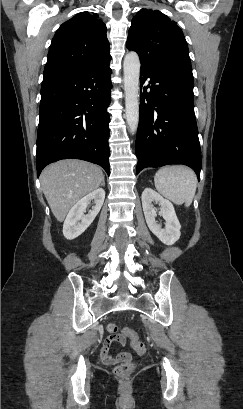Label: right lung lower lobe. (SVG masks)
Listing matches in <instances>:
<instances>
[{
  "label": "right lung lower lobe",
  "mask_w": 243,
  "mask_h": 409,
  "mask_svg": "<svg viewBox=\"0 0 243 409\" xmlns=\"http://www.w3.org/2000/svg\"><path fill=\"white\" fill-rule=\"evenodd\" d=\"M111 57L80 72L43 80L37 134V175L57 160L100 165L109 175Z\"/></svg>",
  "instance_id": "1"
}]
</instances>
